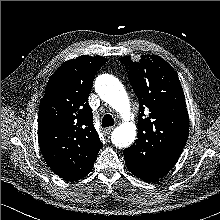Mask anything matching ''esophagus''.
<instances>
[{"label": "esophagus", "instance_id": "1", "mask_svg": "<svg viewBox=\"0 0 220 220\" xmlns=\"http://www.w3.org/2000/svg\"><path fill=\"white\" fill-rule=\"evenodd\" d=\"M114 130V127H109L107 129L104 130V132L109 135L112 131Z\"/></svg>", "mask_w": 220, "mask_h": 220}]
</instances>
